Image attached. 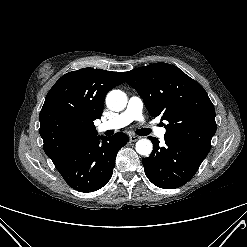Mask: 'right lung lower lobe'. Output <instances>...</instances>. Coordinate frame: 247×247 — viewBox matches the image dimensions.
<instances>
[{
  "instance_id": "right-lung-lower-lobe-1",
  "label": "right lung lower lobe",
  "mask_w": 247,
  "mask_h": 247,
  "mask_svg": "<svg viewBox=\"0 0 247 247\" xmlns=\"http://www.w3.org/2000/svg\"><path fill=\"white\" fill-rule=\"evenodd\" d=\"M128 141L121 132L112 137L95 136L74 147L55 167L73 189L96 191L110 180L117 152Z\"/></svg>"
}]
</instances>
